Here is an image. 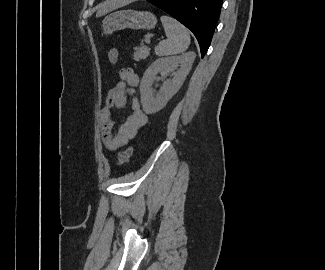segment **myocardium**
Listing matches in <instances>:
<instances>
[{"mask_svg":"<svg viewBox=\"0 0 325 270\" xmlns=\"http://www.w3.org/2000/svg\"><path fill=\"white\" fill-rule=\"evenodd\" d=\"M126 1H135V0H126Z\"/></svg>","mask_w":325,"mask_h":270,"instance_id":"myocardium-1","label":"myocardium"}]
</instances>
